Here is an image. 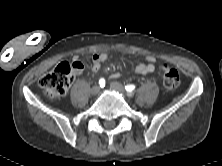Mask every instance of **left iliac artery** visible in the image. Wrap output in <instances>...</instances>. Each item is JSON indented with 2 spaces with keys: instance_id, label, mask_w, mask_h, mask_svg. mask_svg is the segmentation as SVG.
I'll use <instances>...</instances> for the list:
<instances>
[{
  "instance_id": "left-iliac-artery-1",
  "label": "left iliac artery",
  "mask_w": 222,
  "mask_h": 166,
  "mask_svg": "<svg viewBox=\"0 0 222 166\" xmlns=\"http://www.w3.org/2000/svg\"><path fill=\"white\" fill-rule=\"evenodd\" d=\"M135 89V85H126L125 86V90L129 93V94H131L132 93V91Z\"/></svg>"
}]
</instances>
